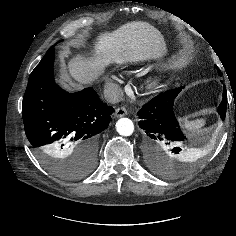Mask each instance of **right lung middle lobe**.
<instances>
[{
  "mask_svg": "<svg viewBox=\"0 0 236 236\" xmlns=\"http://www.w3.org/2000/svg\"><path fill=\"white\" fill-rule=\"evenodd\" d=\"M39 158L49 171L63 178L81 177L86 175L94 166L83 161L67 162L57 160L43 152H39Z\"/></svg>",
  "mask_w": 236,
  "mask_h": 236,
  "instance_id": "obj_1",
  "label": "right lung middle lobe"
}]
</instances>
